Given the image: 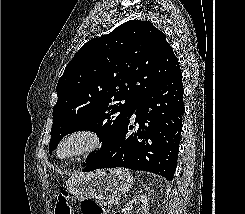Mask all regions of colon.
Masks as SVG:
<instances>
[{
	"mask_svg": "<svg viewBox=\"0 0 245 214\" xmlns=\"http://www.w3.org/2000/svg\"><path fill=\"white\" fill-rule=\"evenodd\" d=\"M70 197L67 192H61L55 204V214H71V207L69 203ZM82 214H104V208L92 199H86L81 204Z\"/></svg>",
	"mask_w": 245,
	"mask_h": 214,
	"instance_id": "5ec220e1",
	"label": "colon"
}]
</instances>
